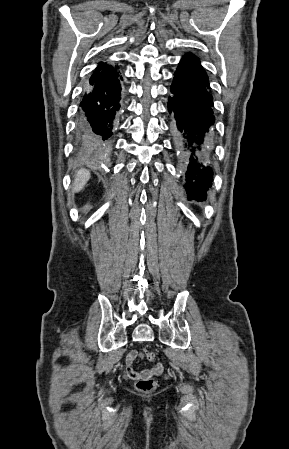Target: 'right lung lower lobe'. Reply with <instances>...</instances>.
Instances as JSON below:
<instances>
[{"label":"right lung lower lobe","mask_w":289,"mask_h":449,"mask_svg":"<svg viewBox=\"0 0 289 449\" xmlns=\"http://www.w3.org/2000/svg\"><path fill=\"white\" fill-rule=\"evenodd\" d=\"M118 67L97 66L80 103L78 129L82 137L104 149L111 145V136L120 109L121 86Z\"/></svg>","instance_id":"right-lung-lower-lobe-1"}]
</instances>
